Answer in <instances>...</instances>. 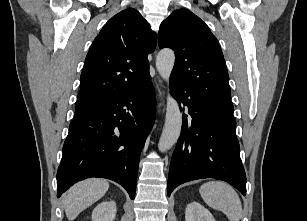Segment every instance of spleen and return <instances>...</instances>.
Here are the masks:
<instances>
[{"mask_svg":"<svg viewBox=\"0 0 307 221\" xmlns=\"http://www.w3.org/2000/svg\"><path fill=\"white\" fill-rule=\"evenodd\" d=\"M199 192L208 206L222 211L229 221L240 220L242 205L232 186L221 181H209L201 185Z\"/></svg>","mask_w":307,"mask_h":221,"instance_id":"spleen-1","label":"spleen"}]
</instances>
